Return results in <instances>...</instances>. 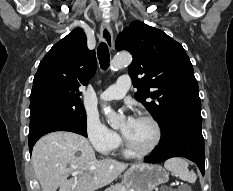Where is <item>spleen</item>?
Segmentation results:
<instances>
[{"label": "spleen", "instance_id": "obj_1", "mask_svg": "<svg viewBox=\"0 0 233 191\" xmlns=\"http://www.w3.org/2000/svg\"><path fill=\"white\" fill-rule=\"evenodd\" d=\"M164 167L172 174L178 175L182 180L189 183H194L197 179L196 174L193 171H189L188 163L181 158H171L167 160Z\"/></svg>", "mask_w": 233, "mask_h": 191}]
</instances>
